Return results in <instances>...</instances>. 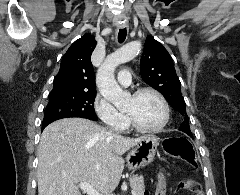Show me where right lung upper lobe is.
<instances>
[{"label":"right lung upper lobe","instance_id":"1","mask_svg":"<svg viewBox=\"0 0 240 195\" xmlns=\"http://www.w3.org/2000/svg\"><path fill=\"white\" fill-rule=\"evenodd\" d=\"M96 43L94 36L87 33L70 46L62 58L50 95L96 93L94 68L90 60Z\"/></svg>","mask_w":240,"mask_h":195}]
</instances>
